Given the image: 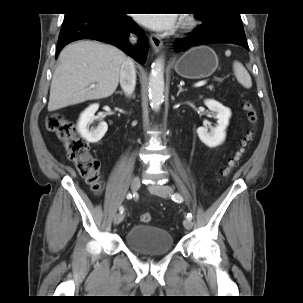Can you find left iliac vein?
Here are the masks:
<instances>
[{"label":"left iliac vein","instance_id":"left-iliac-vein-1","mask_svg":"<svg viewBox=\"0 0 303 303\" xmlns=\"http://www.w3.org/2000/svg\"><path fill=\"white\" fill-rule=\"evenodd\" d=\"M149 191L163 198H167L169 195L173 193L172 187L168 185H150ZM183 225L186 229H191L193 226L192 220L186 218L183 221Z\"/></svg>","mask_w":303,"mask_h":303}]
</instances>
